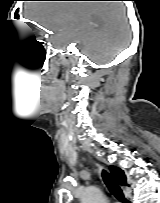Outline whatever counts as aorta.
<instances>
[{"label": "aorta", "mask_w": 160, "mask_h": 203, "mask_svg": "<svg viewBox=\"0 0 160 203\" xmlns=\"http://www.w3.org/2000/svg\"><path fill=\"white\" fill-rule=\"evenodd\" d=\"M81 203H106V199L98 187L89 186L81 193Z\"/></svg>", "instance_id": "obj_1"}]
</instances>
